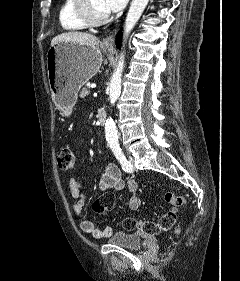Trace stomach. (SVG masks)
Instances as JSON below:
<instances>
[{
	"instance_id": "1",
	"label": "stomach",
	"mask_w": 240,
	"mask_h": 281,
	"mask_svg": "<svg viewBox=\"0 0 240 281\" xmlns=\"http://www.w3.org/2000/svg\"><path fill=\"white\" fill-rule=\"evenodd\" d=\"M110 47L58 42L47 52V74L51 96L65 112L74 106L79 89L98 71L102 64L101 50Z\"/></svg>"
}]
</instances>
